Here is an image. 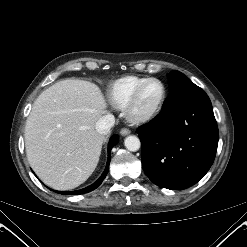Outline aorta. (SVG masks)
I'll return each mask as SVG.
<instances>
[{"label":"aorta","mask_w":247,"mask_h":247,"mask_svg":"<svg viewBox=\"0 0 247 247\" xmlns=\"http://www.w3.org/2000/svg\"><path fill=\"white\" fill-rule=\"evenodd\" d=\"M124 144L129 151H133V152L139 150L141 146L139 138L133 135L126 137L124 140Z\"/></svg>","instance_id":"1"}]
</instances>
